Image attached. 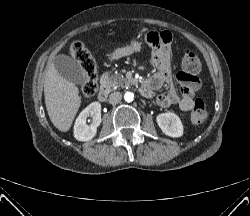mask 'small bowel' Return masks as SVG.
<instances>
[{"mask_svg":"<svg viewBox=\"0 0 250 216\" xmlns=\"http://www.w3.org/2000/svg\"><path fill=\"white\" fill-rule=\"evenodd\" d=\"M171 39L169 32L149 33L146 37L147 43L154 49L153 64L156 68V72L144 82L149 90L147 96H152L164 84H168V92L157 96V104L163 108L175 106L181 111H189L194 106V96L200 89V82L196 76L188 77L179 71L176 78L181 85V95L175 92L168 55Z\"/></svg>","mask_w":250,"mask_h":216,"instance_id":"small-bowel-1","label":"small bowel"}]
</instances>
